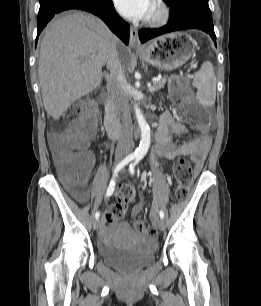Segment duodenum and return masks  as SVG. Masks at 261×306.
<instances>
[{
    "label": "duodenum",
    "mask_w": 261,
    "mask_h": 306,
    "mask_svg": "<svg viewBox=\"0 0 261 306\" xmlns=\"http://www.w3.org/2000/svg\"><path fill=\"white\" fill-rule=\"evenodd\" d=\"M104 126L112 137L119 135L121 127L117 119L115 103L112 98H108L105 103Z\"/></svg>",
    "instance_id": "1"
}]
</instances>
